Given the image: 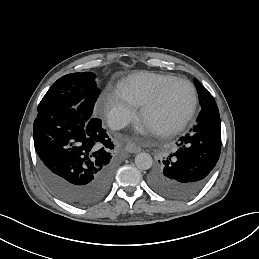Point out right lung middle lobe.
I'll use <instances>...</instances> for the list:
<instances>
[{"label":"right lung middle lobe","mask_w":259,"mask_h":259,"mask_svg":"<svg viewBox=\"0 0 259 259\" xmlns=\"http://www.w3.org/2000/svg\"><path fill=\"white\" fill-rule=\"evenodd\" d=\"M100 89L92 72L72 73L59 78L38 105L37 111L71 109L86 117H95L94 105Z\"/></svg>","instance_id":"right-lung-middle-lobe-1"}]
</instances>
